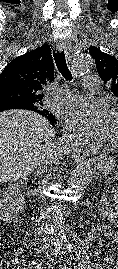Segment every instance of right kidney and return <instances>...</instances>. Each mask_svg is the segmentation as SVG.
Masks as SVG:
<instances>
[{
	"label": "right kidney",
	"instance_id": "1",
	"mask_svg": "<svg viewBox=\"0 0 118 269\" xmlns=\"http://www.w3.org/2000/svg\"><path fill=\"white\" fill-rule=\"evenodd\" d=\"M25 184V182L12 183L3 190V196L0 199V220L3 222L15 221L19 214L24 211L25 198L22 194V188Z\"/></svg>",
	"mask_w": 118,
	"mask_h": 269
}]
</instances>
